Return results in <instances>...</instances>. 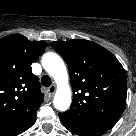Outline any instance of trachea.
<instances>
[{
    "mask_svg": "<svg viewBox=\"0 0 136 136\" xmlns=\"http://www.w3.org/2000/svg\"><path fill=\"white\" fill-rule=\"evenodd\" d=\"M41 84L44 86V87H49L51 85V79L49 76L47 75H44L42 78H41Z\"/></svg>",
    "mask_w": 136,
    "mask_h": 136,
    "instance_id": "obj_1",
    "label": "trachea"
}]
</instances>
